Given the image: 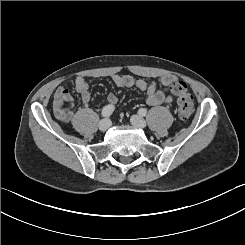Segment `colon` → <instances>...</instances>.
<instances>
[{
    "label": "colon",
    "instance_id": "obj_1",
    "mask_svg": "<svg viewBox=\"0 0 245 245\" xmlns=\"http://www.w3.org/2000/svg\"><path fill=\"white\" fill-rule=\"evenodd\" d=\"M172 93L177 98V108L179 116L183 121H187L193 113V99L188 92L187 86L183 81H176L171 87Z\"/></svg>",
    "mask_w": 245,
    "mask_h": 245
}]
</instances>
